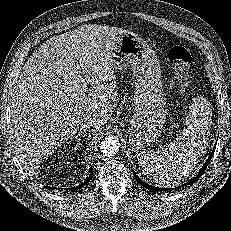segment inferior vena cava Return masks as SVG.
<instances>
[{
    "mask_svg": "<svg viewBox=\"0 0 231 231\" xmlns=\"http://www.w3.org/2000/svg\"><path fill=\"white\" fill-rule=\"evenodd\" d=\"M96 124V118L91 116H84L81 119L80 127L81 128H90Z\"/></svg>",
    "mask_w": 231,
    "mask_h": 231,
    "instance_id": "1",
    "label": "inferior vena cava"
}]
</instances>
